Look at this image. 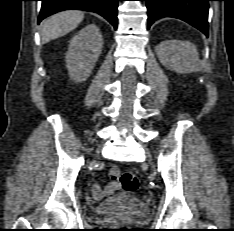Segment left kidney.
<instances>
[{"label": "left kidney", "instance_id": "1", "mask_svg": "<svg viewBox=\"0 0 234 231\" xmlns=\"http://www.w3.org/2000/svg\"><path fill=\"white\" fill-rule=\"evenodd\" d=\"M156 54L166 68L178 73H191L203 68L195 45L189 41L165 40L156 46Z\"/></svg>", "mask_w": 234, "mask_h": 231}]
</instances>
